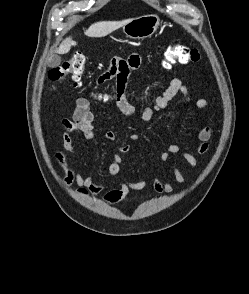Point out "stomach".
Returning <instances> with one entry per match:
<instances>
[{
    "label": "stomach",
    "mask_w": 249,
    "mask_h": 294,
    "mask_svg": "<svg viewBox=\"0 0 249 294\" xmlns=\"http://www.w3.org/2000/svg\"><path fill=\"white\" fill-rule=\"evenodd\" d=\"M160 24L157 15L149 14L136 17L123 25L122 30L126 37L133 40H143L151 37Z\"/></svg>",
    "instance_id": "stomach-1"
}]
</instances>
